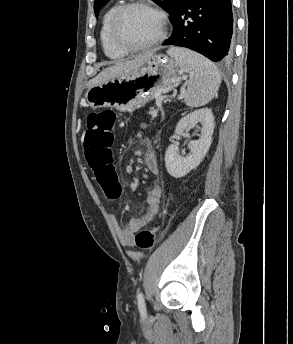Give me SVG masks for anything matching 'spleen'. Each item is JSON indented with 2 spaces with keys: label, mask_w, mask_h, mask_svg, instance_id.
<instances>
[{
  "label": "spleen",
  "mask_w": 293,
  "mask_h": 344,
  "mask_svg": "<svg viewBox=\"0 0 293 344\" xmlns=\"http://www.w3.org/2000/svg\"><path fill=\"white\" fill-rule=\"evenodd\" d=\"M167 53L174 57L183 70L189 73L186 105L199 107L207 104L216 95L221 76L214 63L202 55L184 48L172 47Z\"/></svg>",
  "instance_id": "1"
}]
</instances>
